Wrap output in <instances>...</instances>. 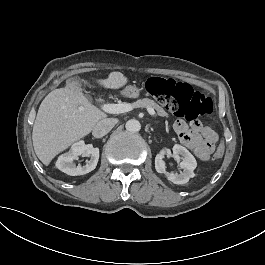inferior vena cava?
Returning <instances> with one entry per match:
<instances>
[{
	"label": "inferior vena cava",
	"instance_id": "602c4592",
	"mask_svg": "<svg viewBox=\"0 0 265 265\" xmlns=\"http://www.w3.org/2000/svg\"><path fill=\"white\" fill-rule=\"evenodd\" d=\"M116 120L113 118H104L100 120L93 128L92 134L95 138H102L115 126Z\"/></svg>",
	"mask_w": 265,
	"mask_h": 265
}]
</instances>
